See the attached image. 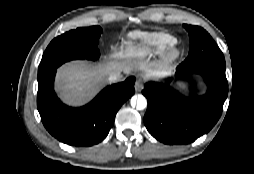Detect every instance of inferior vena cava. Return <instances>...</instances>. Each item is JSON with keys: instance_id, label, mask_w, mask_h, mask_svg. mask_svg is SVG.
Returning a JSON list of instances; mask_svg holds the SVG:
<instances>
[{"instance_id": "602c4592", "label": "inferior vena cava", "mask_w": 254, "mask_h": 174, "mask_svg": "<svg viewBox=\"0 0 254 174\" xmlns=\"http://www.w3.org/2000/svg\"><path fill=\"white\" fill-rule=\"evenodd\" d=\"M108 80H109L110 82H116V81L121 80V71L112 73V74L108 77Z\"/></svg>"}]
</instances>
